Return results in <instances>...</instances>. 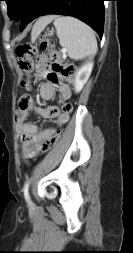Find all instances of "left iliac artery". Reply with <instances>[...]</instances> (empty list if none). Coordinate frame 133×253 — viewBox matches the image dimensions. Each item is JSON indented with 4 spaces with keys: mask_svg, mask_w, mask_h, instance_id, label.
Returning <instances> with one entry per match:
<instances>
[{
    "mask_svg": "<svg viewBox=\"0 0 133 253\" xmlns=\"http://www.w3.org/2000/svg\"><path fill=\"white\" fill-rule=\"evenodd\" d=\"M29 185H30V179L25 183L24 188H23V192H24V197L25 200L30 203V196H29Z\"/></svg>",
    "mask_w": 133,
    "mask_h": 253,
    "instance_id": "44dca946",
    "label": "left iliac artery"
}]
</instances>
